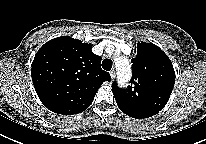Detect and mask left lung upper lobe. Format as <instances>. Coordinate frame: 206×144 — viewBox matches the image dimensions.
<instances>
[{"mask_svg":"<svg viewBox=\"0 0 206 144\" xmlns=\"http://www.w3.org/2000/svg\"><path fill=\"white\" fill-rule=\"evenodd\" d=\"M131 85L119 89L112 84L119 108L130 117L148 118L167 104L175 83V72L168 56L152 43H138L131 60Z\"/></svg>","mask_w":206,"mask_h":144,"instance_id":"obj_1","label":"left lung upper lobe"}]
</instances>
